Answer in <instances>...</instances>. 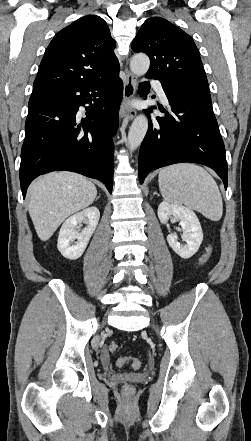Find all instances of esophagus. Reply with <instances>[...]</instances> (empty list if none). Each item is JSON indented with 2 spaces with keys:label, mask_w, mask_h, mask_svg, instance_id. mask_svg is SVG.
<instances>
[{
  "label": "esophagus",
  "mask_w": 251,
  "mask_h": 441,
  "mask_svg": "<svg viewBox=\"0 0 251 441\" xmlns=\"http://www.w3.org/2000/svg\"><path fill=\"white\" fill-rule=\"evenodd\" d=\"M125 72L126 79L124 81L123 101L120 108V117L122 119L132 120L136 116L137 111L135 108L129 107L128 104L135 96L137 77L128 69H126Z\"/></svg>",
  "instance_id": "obj_1"
}]
</instances>
